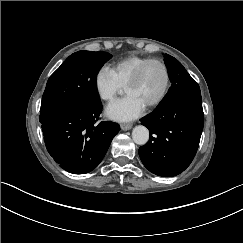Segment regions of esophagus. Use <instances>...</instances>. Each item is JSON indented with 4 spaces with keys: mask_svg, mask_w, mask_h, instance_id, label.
<instances>
[{
    "mask_svg": "<svg viewBox=\"0 0 243 243\" xmlns=\"http://www.w3.org/2000/svg\"><path fill=\"white\" fill-rule=\"evenodd\" d=\"M132 128L131 124H121V129L124 131L130 130Z\"/></svg>",
    "mask_w": 243,
    "mask_h": 243,
    "instance_id": "obj_1",
    "label": "esophagus"
}]
</instances>
